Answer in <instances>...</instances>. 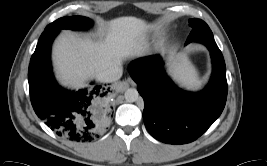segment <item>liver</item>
Wrapping results in <instances>:
<instances>
[{
  "label": "liver",
  "mask_w": 267,
  "mask_h": 166,
  "mask_svg": "<svg viewBox=\"0 0 267 166\" xmlns=\"http://www.w3.org/2000/svg\"><path fill=\"white\" fill-rule=\"evenodd\" d=\"M104 40L93 41L65 33L54 44L53 61L58 78L64 85L83 86L84 80L96 76L112 66L122 67L125 59L143 55L146 32L151 28L136 17H120L106 24ZM171 72L184 86H198L196 71L182 57L171 58Z\"/></svg>",
  "instance_id": "1"
}]
</instances>
